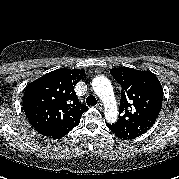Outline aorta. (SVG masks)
<instances>
[{
  "label": "aorta",
  "instance_id": "obj_1",
  "mask_svg": "<svg viewBox=\"0 0 179 179\" xmlns=\"http://www.w3.org/2000/svg\"><path fill=\"white\" fill-rule=\"evenodd\" d=\"M92 87L105 106V118L114 123L118 117V108L111 82L104 76H96L92 81Z\"/></svg>",
  "mask_w": 179,
  "mask_h": 179
}]
</instances>
